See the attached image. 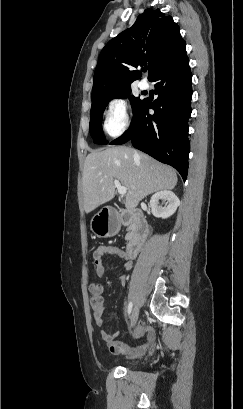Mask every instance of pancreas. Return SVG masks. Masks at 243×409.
Masks as SVG:
<instances>
[{
  "mask_svg": "<svg viewBox=\"0 0 243 409\" xmlns=\"http://www.w3.org/2000/svg\"><path fill=\"white\" fill-rule=\"evenodd\" d=\"M128 231H130V228L127 229ZM129 238V234H127L126 239L128 240Z\"/></svg>",
  "mask_w": 243,
  "mask_h": 409,
  "instance_id": "1",
  "label": "pancreas"
}]
</instances>
